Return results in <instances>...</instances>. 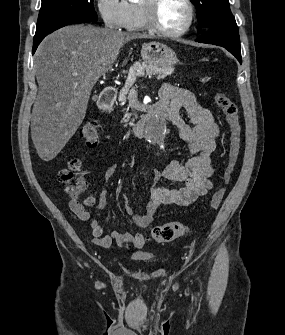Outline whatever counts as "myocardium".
<instances>
[{"label":"myocardium","instance_id":"obj_1","mask_svg":"<svg viewBox=\"0 0 285 335\" xmlns=\"http://www.w3.org/2000/svg\"><path fill=\"white\" fill-rule=\"evenodd\" d=\"M145 19L147 28L163 37L175 38L185 34L191 27L194 18L193 6L190 1H179L188 9V19L184 26L178 30L170 31L165 29L159 21V8L163 1H145Z\"/></svg>","mask_w":285,"mask_h":335}]
</instances>
